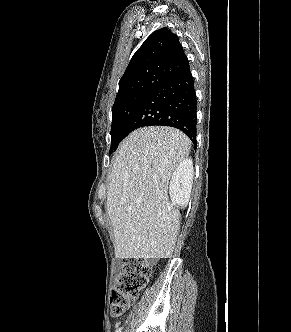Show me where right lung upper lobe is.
<instances>
[{"label":"right lung upper lobe","instance_id":"obj_1","mask_svg":"<svg viewBox=\"0 0 291 332\" xmlns=\"http://www.w3.org/2000/svg\"><path fill=\"white\" fill-rule=\"evenodd\" d=\"M187 67L189 62L177 35L168 28L154 31L129 62L115 100L160 84Z\"/></svg>","mask_w":291,"mask_h":332}]
</instances>
